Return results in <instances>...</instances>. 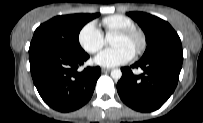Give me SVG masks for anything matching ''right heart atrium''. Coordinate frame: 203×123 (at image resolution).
Here are the masks:
<instances>
[{
    "label": "right heart atrium",
    "instance_id": "right-heart-atrium-1",
    "mask_svg": "<svg viewBox=\"0 0 203 123\" xmlns=\"http://www.w3.org/2000/svg\"><path fill=\"white\" fill-rule=\"evenodd\" d=\"M78 42L87 53L95 54L104 46V36L96 23L89 22L79 31Z\"/></svg>",
    "mask_w": 203,
    "mask_h": 123
}]
</instances>
